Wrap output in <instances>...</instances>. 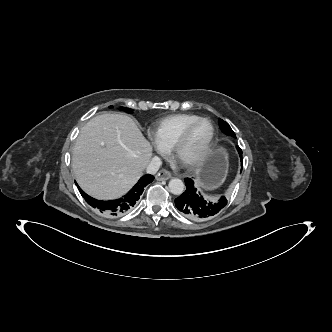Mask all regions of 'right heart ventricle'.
I'll list each match as a JSON object with an SVG mask.
<instances>
[{"instance_id":"obj_1","label":"right heart ventricle","mask_w":332,"mask_h":332,"mask_svg":"<svg viewBox=\"0 0 332 332\" xmlns=\"http://www.w3.org/2000/svg\"><path fill=\"white\" fill-rule=\"evenodd\" d=\"M194 114L170 115L157 122L153 129V137L167 150H170L179 135L194 120L198 119Z\"/></svg>"}]
</instances>
